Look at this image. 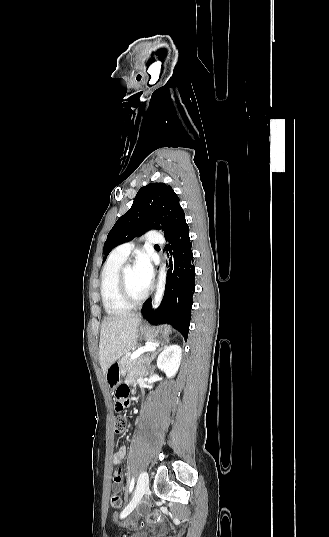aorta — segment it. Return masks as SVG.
Here are the masks:
<instances>
[{"label": "aorta", "instance_id": "aorta-1", "mask_svg": "<svg viewBox=\"0 0 329 537\" xmlns=\"http://www.w3.org/2000/svg\"><path fill=\"white\" fill-rule=\"evenodd\" d=\"M166 275H167L166 267H165V264H163L159 271L157 289H156V293L153 299L154 309H156L160 305L161 300L163 298L165 285H166Z\"/></svg>", "mask_w": 329, "mask_h": 537}]
</instances>
